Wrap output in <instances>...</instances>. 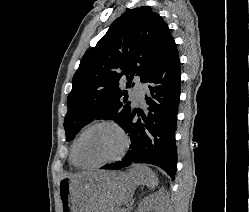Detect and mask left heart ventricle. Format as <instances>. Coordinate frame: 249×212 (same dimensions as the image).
Listing matches in <instances>:
<instances>
[{
  "label": "left heart ventricle",
  "mask_w": 249,
  "mask_h": 212,
  "mask_svg": "<svg viewBox=\"0 0 249 212\" xmlns=\"http://www.w3.org/2000/svg\"><path fill=\"white\" fill-rule=\"evenodd\" d=\"M120 147L121 140L117 132L110 127H100L81 138L77 156L83 164H97L117 155Z\"/></svg>",
  "instance_id": "b2bd125f"
}]
</instances>
